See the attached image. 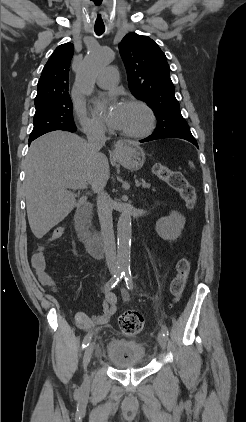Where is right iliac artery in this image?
<instances>
[{"label": "right iliac artery", "instance_id": "82829eb1", "mask_svg": "<svg viewBox=\"0 0 246 422\" xmlns=\"http://www.w3.org/2000/svg\"><path fill=\"white\" fill-rule=\"evenodd\" d=\"M123 276H124V270L118 269L116 271V273L114 274V276L105 284L104 291L105 292L110 291L122 279ZM91 338H92L91 333H88L85 336L83 343H82L83 349L86 348L89 345Z\"/></svg>", "mask_w": 246, "mask_h": 422}]
</instances>
